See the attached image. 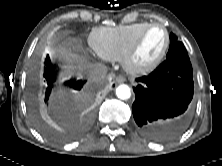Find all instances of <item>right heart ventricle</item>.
Masks as SVG:
<instances>
[{
  "instance_id": "right-heart-ventricle-1",
  "label": "right heart ventricle",
  "mask_w": 222,
  "mask_h": 166,
  "mask_svg": "<svg viewBox=\"0 0 222 166\" xmlns=\"http://www.w3.org/2000/svg\"><path fill=\"white\" fill-rule=\"evenodd\" d=\"M148 22L95 29L90 35L93 50L107 60L122 59L125 51Z\"/></svg>"
}]
</instances>
